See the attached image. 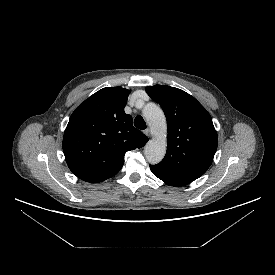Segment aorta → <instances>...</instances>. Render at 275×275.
Here are the masks:
<instances>
[{
	"mask_svg": "<svg viewBox=\"0 0 275 275\" xmlns=\"http://www.w3.org/2000/svg\"><path fill=\"white\" fill-rule=\"evenodd\" d=\"M143 115L153 136V139L148 141L145 146V157L150 164H158L164 158L167 148L166 118L162 109L153 103H149L144 107Z\"/></svg>",
	"mask_w": 275,
	"mask_h": 275,
	"instance_id": "762f6f07",
	"label": "aorta"
}]
</instances>
